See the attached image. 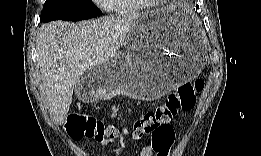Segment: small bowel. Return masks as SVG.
Listing matches in <instances>:
<instances>
[{
    "mask_svg": "<svg viewBox=\"0 0 261 156\" xmlns=\"http://www.w3.org/2000/svg\"><path fill=\"white\" fill-rule=\"evenodd\" d=\"M70 119H74V114H72L69 118ZM102 145H105L106 143H101ZM168 153V151L165 153V155L163 156H166V154ZM155 154H158V152L156 151V149L154 148L153 144L151 143L150 145H147L145 146L141 152H140V156H153Z\"/></svg>",
    "mask_w": 261,
    "mask_h": 156,
    "instance_id": "1",
    "label": "small bowel"
}]
</instances>
